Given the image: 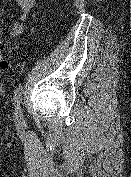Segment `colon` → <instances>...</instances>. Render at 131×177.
<instances>
[{
  "mask_svg": "<svg viewBox=\"0 0 131 177\" xmlns=\"http://www.w3.org/2000/svg\"><path fill=\"white\" fill-rule=\"evenodd\" d=\"M9 67L8 61L5 59L3 54V46H0V71H6Z\"/></svg>",
  "mask_w": 131,
  "mask_h": 177,
  "instance_id": "obj_1",
  "label": "colon"
}]
</instances>
